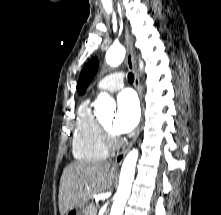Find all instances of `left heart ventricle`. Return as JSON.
Segmentation results:
<instances>
[{"instance_id": "left-heart-ventricle-1", "label": "left heart ventricle", "mask_w": 221, "mask_h": 215, "mask_svg": "<svg viewBox=\"0 0 221 215\" xmlns=\"http://www.w3.org/2000/svg\"><path fill=\"white\" fill-rule=\"evenodd\" d=\"M104 124H106V125H110V120H106V121H104Z\"/></svg>"}]
</instances>
